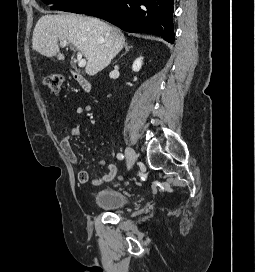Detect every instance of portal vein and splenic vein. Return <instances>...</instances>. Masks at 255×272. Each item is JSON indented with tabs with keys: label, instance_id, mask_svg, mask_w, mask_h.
Here are the masks:
<instances>
[{
	"label": "portal vein and splenic vein",
	"instance_id": "obj_1",
	"mask_svg": "<svg viewBox=\"0 0 255 272\" xmlns=\"http://www.w3.org/2000/svg\"><path fill=\"white\" fill-rule=\"evenodd\" d=\"M66 44H67L66 41H61V45L66 46ZM77 61H78V65L80 67H84L86 65V60L82 58L81 52L77 53Z\"/></svg>",
	"mask_w": 255,
	"mask_h": 272
}]
</instances>
